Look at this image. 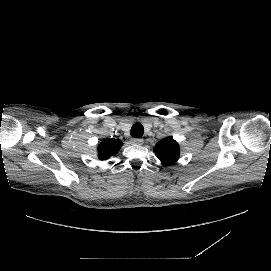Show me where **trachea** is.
Here are the masks:
<instances>
[{
  "mask_svg": "<svg viewBox=\"0 0 271 271\" xmlns=\"http://www.w3.org/2000/svg\"><path fill=\"white\" fill-rule=\"evenodd\" d=\"M144 133V128L142 124L135 123L131 128V135L136 138H140Z\"/></svg>",
  "mask_w": 271,
  "mask_h": 271,
  "instance_id": "obj_1",
  "label": "trachea"
}]
</instances>
